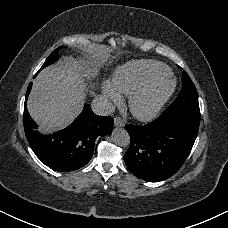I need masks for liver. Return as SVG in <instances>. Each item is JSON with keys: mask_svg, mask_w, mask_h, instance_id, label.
Masks as SVG:
<instances>
[{"mask_svg": "<svg viewBox=\"0 0 228 228\" xmlns=\"http://www.w3.org/2000/svg\"><path fill=\"white\" fill-rule=\"evenodd\" d=\"M90 61L66 60L40 71L33 81L27 100L31 118L42 133L61 130L69 126L81 113L86 99L85 78L97 74V61L107 60L103 46L89 51Z\"/></svg>", "mask_w": 228, "mask_h": 228, "instance_id": "6515ba94", "label": "liver"}]
</instances>
